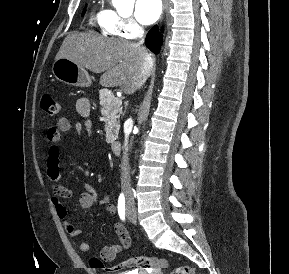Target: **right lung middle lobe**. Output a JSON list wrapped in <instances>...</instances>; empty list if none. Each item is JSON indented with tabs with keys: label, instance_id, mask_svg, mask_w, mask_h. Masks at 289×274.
<instances>
[{
	"label": "right lung middle lobe",
	"instance_id": "obj_1",
	"mask_svg": "<svg viewBox=\"0 0 289 274\" xmlns=\"http://www.w3.org/2000/svg\"><path fill=\"white\" fill-rule=\"evenodd\" d=\"M85 11H86V9H84V11H83V13H82V16L84 15Z\"/></svg>",
	"mask_w": 289,
	"mask_h": 274
}]
</instances>
